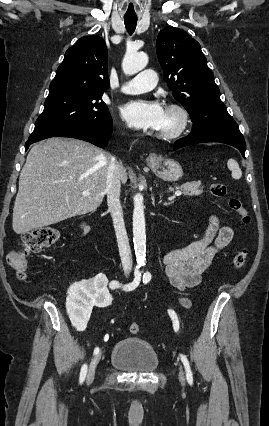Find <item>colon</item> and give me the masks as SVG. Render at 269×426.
Segmentation results:
<instances>
[{
	"label": "colon",
	"instance_id": "5ec220e1",
	"mask_svg": "<svg viewBox=\"0 0 269 426\" xmlns=\"http://www.w3.org/2000/svg\"><path fill=\"white\" fill-rule=\"evenodd\" d=\"M210 193L215 198L224 200L228 208L236 213L243 225H249L251 216L243 207L242 202L238 198L228 197L227 188L222 183H213L210 186ZM60 238L58 229L51 226H44L33 231L23 234L20 238V249L10 250L6 255V261L11 269L15 272L20 280H25L28 276L27 257L30 254L38 253L43 249L49 248L56 244ZM247 259V252L240 250L233 259L235 269H241ZM129 331L132 334H138L141 331L139 323H131Z\"/></svg>",
	"mask_w": 269,
	"mask_h": 426
}]
</instances>
